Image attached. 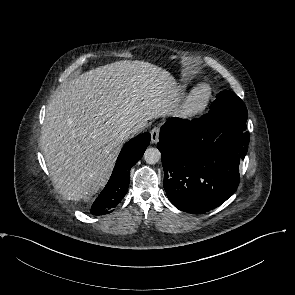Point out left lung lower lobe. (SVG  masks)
Instances as JSON below:
<instances>
[{"label":"left lung lower lobe","mask_w":295,"mask_h":295,"mask_svg":"<svg viewBox=\"0 0 295 295\" xmlns=\"http://www.w3.org/2000/svg\"><path fill=\"white\" fill-rule=\"evenodd\" d=\"M248 144L245 123L209 113L192 121L169 119L160 129L158 149L171 203L192 214L220 206L238 187Z\"/></svg>","instance_id":"obj_1"}]
</instances>
